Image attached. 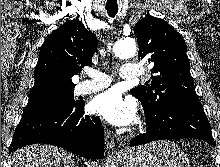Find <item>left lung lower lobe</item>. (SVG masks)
I'll use <instances>...</instances> for the list:
<instances>
[{"mask_svg":"<svg viewBox=\"0 0 220 167\" xmlns=\"http://www.w3.org/2000/svg\"><path fill=\"white\" fill-rule=\"evenodd\" d=\"M146 133L131 139L130 146L155 140L197 138L214 145L211 128L200 101L172 99L158 110L144 108Z\"/></svg>","mask_w":220,"mask_h":167,"instance_id":"1","label":"left lung lower lobe"}]
</instances>
